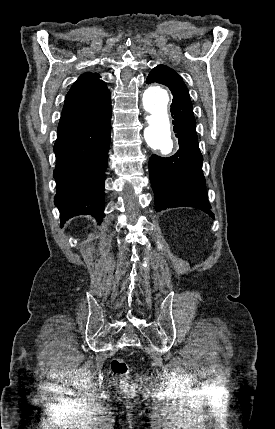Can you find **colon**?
<instances>
[{"instance_id":"5ec220e1","label":"colon","mask_w":275,"mask_h":429,"mask_svg":"<svg viewBox=\"0 0 275 429\" xmlns=\"http://www.w3.org/2000/svg\"><path fill=\"white\" fill-rule=\"evenodd\" d=\"M111 368L116 375L123 377L122 393L127 396L133 395L136 391V384L130 379V366L124 360L116 358L112 360Z\"/></svg>"}]
</instances>
